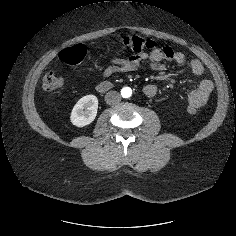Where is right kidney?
<instances>
[{"label":"right kidney","instance_id":"ca27d5eb","mask_svg":"<svg viewBox=\"0 0 236 236\" xmlns=\"http://www.w3.org/2000/svg\"><path fill=\"white\" fill-rule=\"evenodd\" d=\"M98 99L95 95L82 97L73 107L70 121L77 127H84L92 123L97 115Z\"/></svg>","mask_w":236,"mask_h":236}]
</instances>
